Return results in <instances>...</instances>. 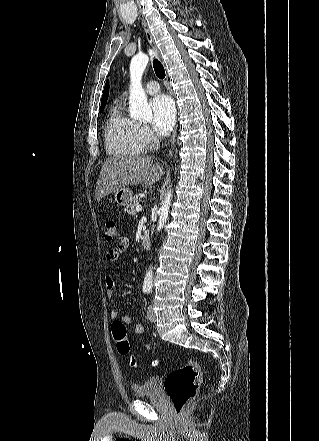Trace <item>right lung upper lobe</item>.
I'll return each instance as SVG.
<instances>
[{"label": "right lung upper lobe", "instance_id": "right-lung-upper-lobe-1", "mask_svg": "<svg viewBox=\"0 0 319 441\" xmlns=\"http://www.w3.org/2000/svg\"><path fill=\"white\" fill-rule=\"evenodd\" d=\"M109 94V81L106 82L104 92L102 95L101 106L105 105Z\"/></svg>", "mask_w": 319, "mask_h": 441}]
</instances>
